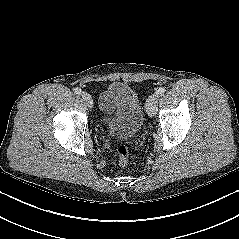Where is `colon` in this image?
Returning <instances> with one entry per match:
<instances>
[{"label":"colon","instance_id":"1","mask_svg":"<svg viewBox=\"0 0 239 239\" xmlns=\"http://www.w3.org/2000/svg\"><path fill=\"white\" fill-rule=\"evenodd\" d=\"M116 155L121 166H126L128 164L130 151L125 144H120L117 146Z\"/></svg>","mask_w":239,"mask_h":239}]
</instances>
